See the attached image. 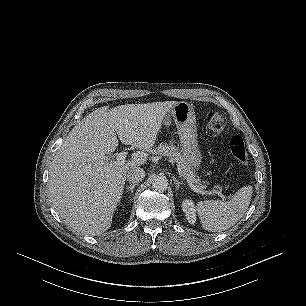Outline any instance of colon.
I'll return each mask as SVG.
<instances>
[{"label":"colon","mask_w":306,"mask_h":306,"mask_svg":"<svg viewBox=\"0 0 306 306\" xmlns=\"http://www.w3.org/2000/svg\"><path fill=\"white\" fill-rule=\"evenodd\" d=\"M226 126L225 116L217 110L211 109L205 113V129L208 136H215L223 131ZM229 148L233 157L242 165L249 162V154L243 139L233 136L229 140Z\"/></svg>","instance_id":"5ec220e1"}]
</instances>
